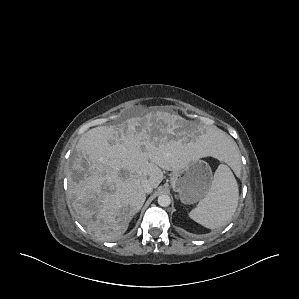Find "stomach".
<instances>
[{"instance_id": "stomach-1", "label": "stomach", "mask_w": 299, "mask_h": 299, "mask_svg": "<svg viewBox=\"0 0 299 299\" xmlns=\"http://www.w3.org/2000/svg\"><path fill=\"white\" fill-rule=\"evenodd\" d=\"M213 181L212 170L203 160L191 162L171 175V186L184 204L201 201L209 193Z\"/></svg>"}]
</instances>
